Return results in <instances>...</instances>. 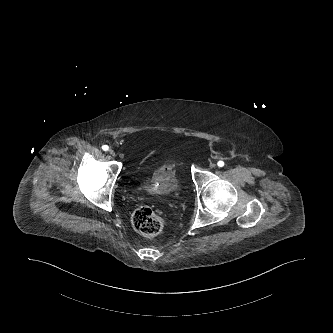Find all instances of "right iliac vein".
I'll return each instance as SVG.
<instances>
[{"label": "right iliac vein", "mask_w": 333, "mask_h": 333, "mask_svg": "<svg viewBox=\"0 0 333 333\" xmlns=\"http://www.w3.org/2000/svg\"><path fill=\"white\" fill-rule=\"evenodd\" d=\"M109 154H110L111 156H115V151H114L113 149H110V150H109Z\"/></svg>", "instance_id": "right-iliac-vein-1"}]
</instances>
